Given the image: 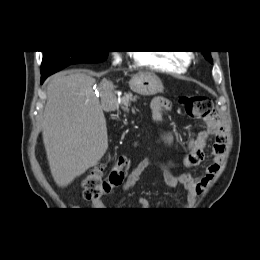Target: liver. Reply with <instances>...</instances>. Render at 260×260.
I'll use <instances>...</instances> for the list:
<instances>
[{
  "mask_svg": "<svg viewBox=\"0 0 260 260\" xmlns=\"http://www.w3.org/2000/svg\"><path fill=\"white\" fill-rule=\"evenodd\" d=\"M81 72L58 73L47 81V101L43 115V143L51 174L59 187L93 167L108 149L103 105L113 97V85Z\"/></svg>",
  "mask_w": 260,
  "mask_h": 260,
  "instance_id": "1",
  "label": "liver"
}]
</instances>
